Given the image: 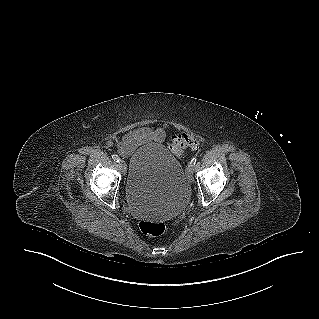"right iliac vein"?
<instances>
[{
	"label": "right iliac vein",
	"instance_id": "obj_1",
	"mask_svg": "<svg viewBox=\"0 0 319 319\" xmlns=\"http://www.w3.org/2000/svg\"><path fill=\"white\" fill-rule=\"evenodd\" d=\"M119 167H120L121 171L125 174V172H126V163H125V161L120 160L119 161Z\"/></svg>",
	"mask_w": 319,
	"mask_h": 319
}]
</instances>
